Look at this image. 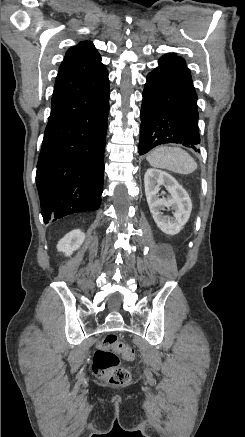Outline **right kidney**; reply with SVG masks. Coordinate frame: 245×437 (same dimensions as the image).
<instances>
[{
    "mask_svg": "<svg viewBox=\"0 0 245 437\" xmlns=\"http://www.w3.org/2000/svg\"><path fill=\"white\" fill-rule=\"evenodd\" d=\"M85 234L77 229L66 234L57 244V250L70 256L84 242Z\"/></svg>",
    "mask_w": 245,
    "mask_h": 437,
    "instance_id": "obj_1",
    "label": "right kidney"
}]
</instances>
